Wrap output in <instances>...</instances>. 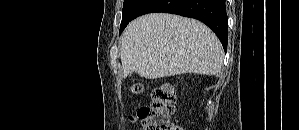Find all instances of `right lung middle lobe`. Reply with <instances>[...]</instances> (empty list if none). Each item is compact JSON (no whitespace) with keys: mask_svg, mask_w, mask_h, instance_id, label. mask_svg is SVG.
I'll return each mask as SVG.
<instances>
[{"mask_svg":"<svg viewBox=\"0 0 299 130\" xmlns=\"http://www.w3.org/2000/svg\"><path fill=\"white\" fill-rule=\"evenodd\" d=\"M146 1L147 0H124L120 33L124 30L127 24L134 18L136 12Z\"/></svg>","mask_w":299,"mask_h":130,"instance_id":"obj_1","label":"right lung middle lobe"}]
</instances>
